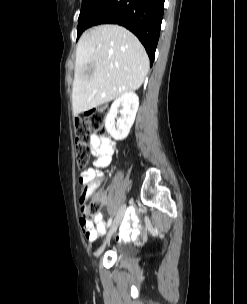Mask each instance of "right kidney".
Returning <instances> with one entry per match:
<instances>
[{"instance_id": "obj_1", "label": "right kidney", "mask_w": 247, "mask_h": 304, "mask_svg": "<svg viewBox=\"0 0 247 304\" xmlns=\"http://www.w3.org/2000/svg\"><path fill=\"white\" fill-rule=\"evenodd\" d=\"M119 107H121L120 111H118ZM138 107L139 98L134 92H126L112 103L105 119V128L114 139L123 140L128 136ZM118 112H120L122 118L117 119V122H115Z\"/></svg>"}]
</instances>
